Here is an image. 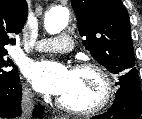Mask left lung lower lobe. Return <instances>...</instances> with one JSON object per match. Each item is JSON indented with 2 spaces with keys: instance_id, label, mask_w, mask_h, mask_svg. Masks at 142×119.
<instances>
[{
  "instance_id": "obj_1",
  "label": "left lung lower lobe",
  "mask_w": 142,
  "mask_h": 119,
  "mask_svg": "<svg viewBox=\"0 0 142 119\" xmlns=\"http://www.w3.org/2000/svg\"><path fill=\"white\" fill-rule=\"evenodd\" d=\"M142 114V91L138 84L120 87L111 108L92 119H138Z\"/></svg>"
}]
</instances>
